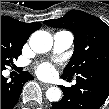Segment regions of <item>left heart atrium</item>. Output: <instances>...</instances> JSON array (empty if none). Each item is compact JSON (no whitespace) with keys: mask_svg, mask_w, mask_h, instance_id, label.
Returning <instances> with one entry per match:
<instances>
[{"mask_svg":"<svg viewBox=\"0 0 109 109\" xmlns=\"http://www.w3.org/2000/svg\"><path fill=\"white\" fill-rule=\"evenodd\" d=\"M37 73L40 77L49 79L55 76L56 69L51 63H43L37 67Z\"/></svg>","mask_w":109,"mask_h":109,"instance_id":"left-heart-atrium-1","label":"left heart atrium"}]
</instances>
